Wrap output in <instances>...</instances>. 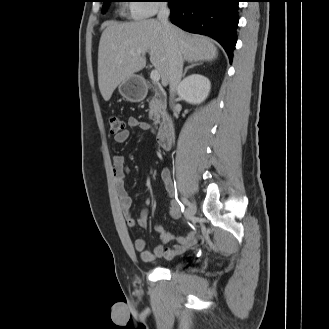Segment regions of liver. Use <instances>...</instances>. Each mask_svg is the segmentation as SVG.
I'll return each instance as SVG.
<instances>
[{
  "mask_svg": "<svg viewBox=\"0 0 329 329\" xmlns=\"http://www.w3.org/2000/svg\"><path fill=\"white\" fill-rule=\"evenodd\" d=\"M174 29L177 47L184 60L197 62L217 58V48L209 38L189 35L177 27ZM147 52L166 86L172 48L163 25L156 19L106 25L98 49V85L105 101L110 100L118 85L145 67Z\"/></svg>",
  "mask_w": 329,
  "mask_h": 329,
  "instance_id": "obj_1",
  "label": "liver"
}]
</instances>
